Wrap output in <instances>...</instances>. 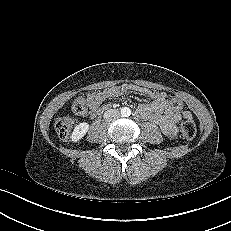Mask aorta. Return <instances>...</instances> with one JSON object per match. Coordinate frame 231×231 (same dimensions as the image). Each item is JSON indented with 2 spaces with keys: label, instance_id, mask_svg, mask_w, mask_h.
I'll return each mask as SVG.
<instances>
[{
  "label": "aorta",
  "instance_id": "obj_1",
  "mask_svg": "<svg viewBox=\"0 0 231 231\" xmlns=\"http://www.w3.org/2000/svg\"><path fill=\"white\" fill-rule=\"evenodd\" d=\"M121 114L124 117H128L131 114V110L128 107H124L121 109Z\"/></svg>",
  "mask_w": 231,
  "mask_h": 231
}]
</instances>
